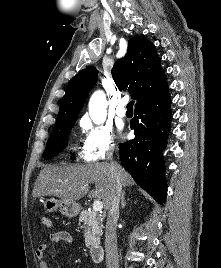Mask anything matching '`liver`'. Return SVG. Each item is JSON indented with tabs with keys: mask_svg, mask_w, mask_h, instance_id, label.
Returning <instances> with one entry per match:
<instances>
[{
	"mask_svg": "<svg viewBox=\"0 0 221 268\" xmlns=\"http://www.w3.org/2000/svg\"><path fill=\"white\" fill-rule=\"evenodd\" d=\"M119 177L122 186L134 185L130 174L119 166ZM95 183V189L89 192V184ZM111 191V175L106 162L92 163L83 166L44 167L36 180L33 197L55 196L66 201H76L86 194L90 198L101 200L108 209Z\"/></svg>",
	"mask_w": 221,
	"mask_h": 268,
	"instance_id": "liver-1",
	"label": "liver"
}]
</instances>
